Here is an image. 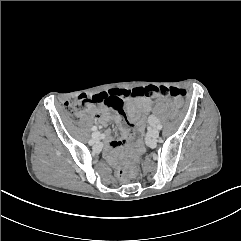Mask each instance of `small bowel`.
I'll return each instance as SVG.
<instances>
[{
	"label": "small bowel",
	"instance_id": "c3829d8e",
	"mask_svg": "<svg viewBox=\"0 0 241 241\" xmlns=\"http://www.w3.org/2000/svg\"><path fill=\"white\" fill-rule=\"evenodd\" d=\"M122 101V111L118 112V114L112 116L109 113V109H114L111 106L104 105V107L97 111L94 107H89L87 110L88 115H94L97 122L101 125H106L111 119L115 121L117 125L120 127V133L122 138L120 140H114L112 138H108L106 140V155L109 159L112 157V152L116 149L127 147L131 144L132 138L136 134V128L134 126H129L126 130L121 126L123 120V108H124V100ZM134 96L129 97L127 102L125 103L127 113L129 119L132 122H136L141 124L144 115L149 111L150 103L145 99H133ZM115 110V109H114ZM127 134L129 135V139L126 137Z\"/></svg>",
	"mask_w": 241,
	"mask_h": 241
}]
</instances>
